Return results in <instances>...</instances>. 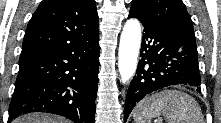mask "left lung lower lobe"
Segmentation results:
<instances>
[{"instance_id": "1", "label": "left lung lower lobe", "mask_w": 221, "mask_h": 123, "mask_svg": "<svg viewBox=\"0 0 221 123\" xmlns=\"http://www.w3.org/2000/svg\"><path fill=\"white\" fill-rule=\"evenodd\" d=\"M135 17L144 27L141 60L126 97L124 122L137 102L153 91L176 84L198 87L200 75L195 40L145 18L131 8L128 18Z\"/></svg>"}]
</instances>
